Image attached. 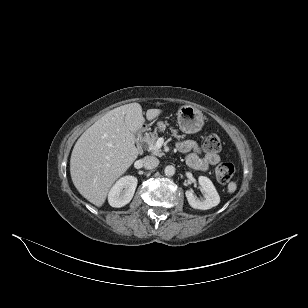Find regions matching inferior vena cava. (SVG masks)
I'll return each instance as SVG.
<instances>
[{
	"mask_svg": "<svg viewBox=\"0 0 308 308\" xmlns=\"http://www.w3.org/2000/svg\"><path fill=\"white\" fill-rule=\"evenodd\" d=\"M143 165L146 169H153L159 165V160L154 156H146L143 158Z\"/></svg>",
	"mask_w": 308,
	"mask_h": 308,
	"instance_id": "602c4592",
	"label": "inferior vena cava"
}]
</instances>
